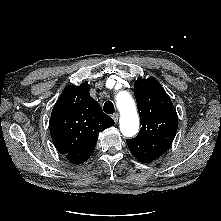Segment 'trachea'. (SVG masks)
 Here are the masks:
<instances>
[{"instance_id": "obj_1", "label": "trachea", "mask_w": 221, "mask_h": 221, "mask_svg": "<svg viewBox=\"0 0 221 221\" xmlns=\"http://www.w3.org/2000/svg\"><path fill=\"white\" fill-rule=\"evenodd\" d=\"M103 109L107 114H113L115 112L114 104L111 101H106Z\"/></svg>"}]
</instances>
